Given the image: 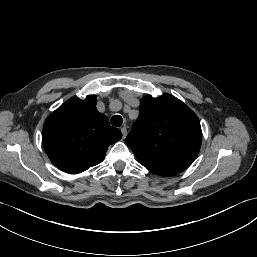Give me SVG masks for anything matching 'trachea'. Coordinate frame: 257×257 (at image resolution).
Masks as SVG:
<instances>
[{
  "label": "trachea",
  "instance_id": "3493384b",
  "mask_svg": "<svg viewBox=\"0 0 257 257\" xmlns=\"http://www.w3.org/2000/svg\"><path fill=\"white\" fill-rule=\"evenodd\" d=\"M123 123V119L120 115H114L111 118V124L115 127H120Z\"/></svg>",
  "mask_w": 257,
  "mask_h": 257
}]
</instances>
